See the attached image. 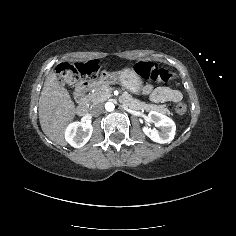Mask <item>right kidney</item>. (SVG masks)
Instances as JSON below:
<instances>
[{"mask_svg":"<svg viewBox=\"0 0 236 236\" xmlns=\"http://www.w3.org/2000/svg\"><path fill=\"white\" fill-rule=\"evenodd\" d=\"M92 132V125L76 122L67 128L66 139L73 147L81 148L90 140Z\"/></svg>","mask_w":236,"mask_h":236,"instance_id":"ca27d5eb","label":"right kidney"}]
</instances>
